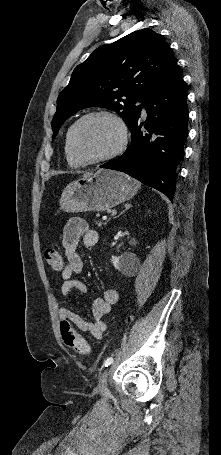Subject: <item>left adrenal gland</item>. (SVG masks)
<instances>
[{"label": "left adrenal gland", "instance_id": "a2214340", "mask_svg": "<svg viewBox=\"0 0 221 455\" xmlns=\"http://www.w3.org/2000/svg\"><path fill=\"white\" fill-rule=\"evenodd\" d=\"M131 207H132L131 204H125V209L118 215V217L121 216L124 212H126V211H127L128 209H130Z\"/></svg>", "mask_w": 221, "mask_h": 455}]
</instances>
